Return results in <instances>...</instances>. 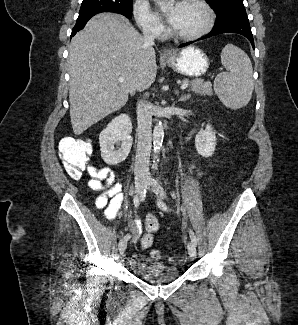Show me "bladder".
<instances>
[{"mask_svg": "<svg viewBox=\"0 0 298 325\" xmlns=\"http://www.w3.org/2000/svg\"><path fill=\"white\" fill-rule=\"evenodd\" d=\"M130 270L138 279L149 284L170 283L180 276L178 268L153 261L140 254L131 257Z\"/></svg>", "mask_w": 298, "mask_h": 325, "instance_id": "bladder-1", "label": "bladder"}]
</instances>
